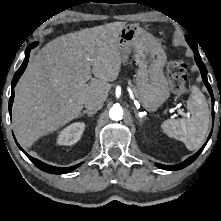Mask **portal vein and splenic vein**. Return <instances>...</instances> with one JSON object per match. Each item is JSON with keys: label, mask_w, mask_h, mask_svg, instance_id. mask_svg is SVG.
Listing matches in <instances>:
<instances>
[{"label": "portal vein and splenic vein", "mask_w": 221, "mask_h": 221, "mask_svg": "<svg viewBox=\"0 0 221 221\" xmlns=\"http://www.w3.org/2000/svg\"><path fill=\"white\" fill-rule=\"evenodd\" d=\"M174 110H176L179 114L184 115V112H183L181 109H179V108H177V107H174V108H173V111H174Z\"/></svg>", "instance_id": "1"}]
</instances>
